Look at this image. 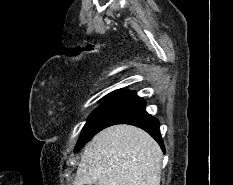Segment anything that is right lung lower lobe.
Segmentation results:
<instances>
[{
    "instance_id": "98d812e1",
    "label": "right lung lower lobe",
    "mask_w": 233,
    "mask_h": 185,
    "mask_svg": "<svg viewBox=\"0 0 233 185\" xmlns=\"http://www.w3.org/2000/svg\"><path fill=\"white\" fill-rule=\"evenodd\" d=\"M115 124H131L148 132L160 145L165 147L159 131V121L145 111V101L135 92H130L100 123L99 131Z\"/></svg>"
}]
</instances>
